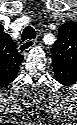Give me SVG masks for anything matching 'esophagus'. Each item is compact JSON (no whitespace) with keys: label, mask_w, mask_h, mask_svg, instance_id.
Masks as SVG:
<instances>
[{"label":"esophagus","mask_w":77,"mask_h":125,"mask_svg":"<svg viewBox=\"0 0 77 125\" xmlns=\"http://www.w3.org/2000/svg\"><path fill=\"white\" fill-rule=\"evenodd\" d=\"M36 40L34 39H29L26 40L25 42L21 43L18 47V51L21 52L22 54L27 53L28 50H30L33 46H35Z\"/></svg>","instance_id":"esophagus-1"}]
</instances>
